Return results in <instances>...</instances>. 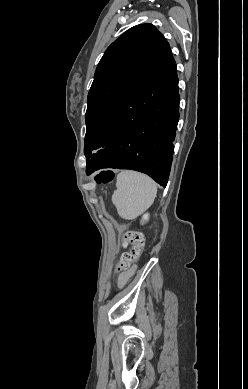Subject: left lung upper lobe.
I'll use <instances>...</instances> for the list:
<instances>
[{"instance_id":"1","label":"left lung upper lobe","mask_w":248,"mask_h":389,"mask_svg":"<svg viewBox=\"0 0 248 389\" xmlns=\"http://www.w3.org/2000/svg\"><path fill=\"white\" fill-rule=\"evenodd\" d=\"M168 48L164 36L147 23L130 28L107 48L96 68L87 98L86 161L93 150L106 146L110 139L101 136L100 119Z\"/></svg>"}]
</instances>
